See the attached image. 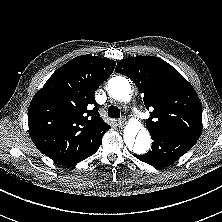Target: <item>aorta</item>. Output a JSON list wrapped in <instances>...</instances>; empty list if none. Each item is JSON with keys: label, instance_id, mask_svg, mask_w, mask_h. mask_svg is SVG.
Segmentation results:
<instances>
[{"label": "aorta", "instance_id": "1", "mask_svg": "<svg viewBox=\"0 0 222 222\" xmlns=\"http://www.w3.org/2000/svg\"><path fill=\"white\" fill-rule=\"evenodd\" d=\"M109 95L122 102L131 100V85L122 76H116L108 82ZM124 141L127 147L136 154L146 153L151 146L149 132L136 123H130L124 130Z\"/></svg>", "mask_w": 222, "mask_h": 222}]
</instances>
